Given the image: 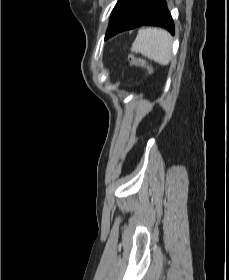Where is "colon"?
<instances>
[{
  "label": "colon",
  "instance_id": "1",
  "mask_svg": "<svg viewBox=\"0 0 229 280\" xmlns=\"http://www.w3.org/2000/svg\"><path fill=\"white\" fill-rule=\"evenodd\" d=\"M130 63L133 65H142L146 63V59L135 55L130 56Z\"/></svg>",
  "mask_w": 229,
  "mask_h": 280
}]
</instances>
